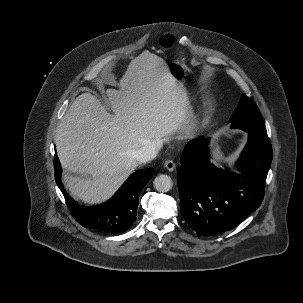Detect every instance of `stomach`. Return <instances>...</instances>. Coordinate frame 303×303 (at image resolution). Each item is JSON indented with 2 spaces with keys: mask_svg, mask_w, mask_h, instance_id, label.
Returning a JSON list of instances; mask_svg holds the SVG:
<instances>
[{
  "mask_svg": "<svg viewBox=\"0 0 303 303\" xmlns=\"http://www.w3.org/2000/svg\"><path fill=\"white\" fill-rule=\"evenodd\" d=\"M168 69L179 82H181L186 76L187 67L179 61L170 63L168 65ZM214 158L216 163L224 159V154L218 145H215L214 147Z\"/></svg>",
  "mask_w": 303,
  "mask_h": 303,
  "instance_id": "0dacf381",
  "label": "stomach"
}]
</instances>
